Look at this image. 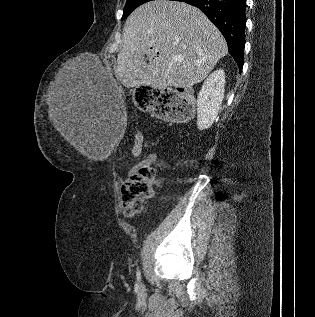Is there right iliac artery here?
Instances as JSON below:
<instances>
[{
    "instance_id": "obj_1",
    "label": "right iliac artery",
    "mask_w": 315,
    "mask_h": 317,
    "mask_svg": "<svg viewBox=\"0 0 315 317\" xmlns=\"http://www.w3.org/2000/svg\"><path fill=\"white\" fill-rule=\"evenodd\" d=\"M136 276H137V280L140 281V279H141V273H140V270H139V269L137 270Z\"/></svg>"
}]
</instances>
